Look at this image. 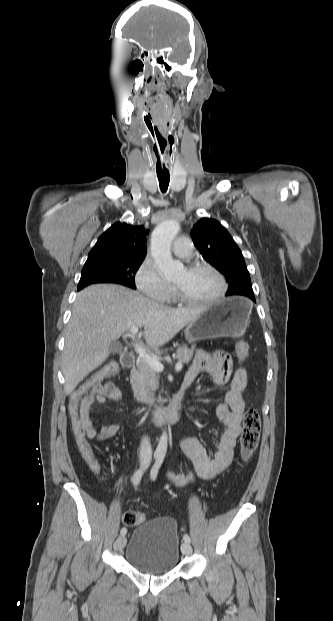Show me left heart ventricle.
<instances>
[{
    "label": "left heart ventricle",
    "mask_w": 333,
    "mask_h": 621,
    "mask_svg": "<svg viewBox=\"0 0 333 621\" xmlns=\"http://www.w3.org/2000/svg\"><path fill=\"white\" fill-rule=\"evenodd\" d=\"M173 284L186 296L196 300L212 298L220 290L219 279L207 270L189 272L183 269L173 279Z\"/></svg>",
    "instance_id": "left-heart-ventricle-1"
}]
</instances>
